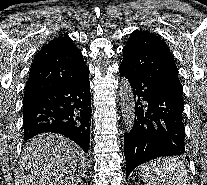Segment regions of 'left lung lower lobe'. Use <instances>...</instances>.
Segmentation results:
<instances>
[{
    "mask_svg": "<svg viewBox=\"0 0 207 185\" xmlns=\"http://www.w3.org/2000/svg\"><path fill=\"white\" fill-rule=\"evenodd\" d=\"M119 72L128 79L136 101L134 125L124 139L128 177L146 161L186 152L184 103L156 81L132 74L123 65Z\"/></svg>",
    "mask_w": 207,
    "mask_h": 185,
    "instance_id": "left-lung-lower-lobe-1",
    "label": "left lung lower lobe"
}]
</instances>
